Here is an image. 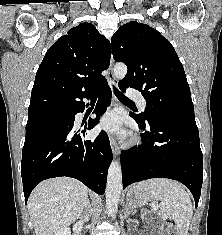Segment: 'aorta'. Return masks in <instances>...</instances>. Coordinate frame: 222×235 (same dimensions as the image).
Masks as SVG:
<instances>
[{
	"label": "aorta",
	"instance_id": "1",
	"mask_svg": "<svg viewBox=\"0 0 222 235\" xmlns=\"http://www.w3.org/2000/svg\"><path fill=\"white\" fill-rule=\"evenodd\" d=\"M126 74L127 66L124 63H117L114 66L113 77L115 79H123ZM122 186L121 165L117 160H113L107 175L106 208L108 216H113L118 208Z\"/></svg>",
	"mask_w": 222,
	"mask_h": 235
}]
</instances>
